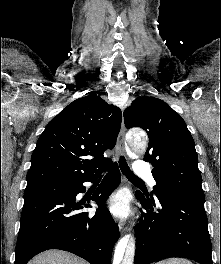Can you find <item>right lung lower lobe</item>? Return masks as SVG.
<instances>
[{
	"label": "right lung lower lobe",
	"mask_w": 221,
	"mask_h": 264,
	"mask_svg": "<svg viewBox=\"0 0 221 264\" xmlns=\"http://www.w3.org/2000/svg\"><path fill=\"white\" fill-rule=\"evenodd\" d=\"M107 169L108 174L91 197L101 205L95 215L81 211L92 206L76 202V195L85 192L83 183L93 181L96 175L66 182V188L24 193L14 264H26L36 254L52 248L74 253L90 264L111 263L119 229L104 203L120 183V171L116 163Z\"/></svg>",
	"instance_id": "obj_1"
}]
</instances>
